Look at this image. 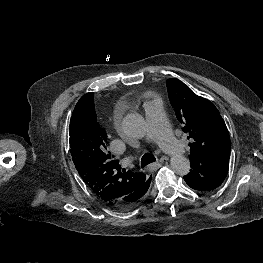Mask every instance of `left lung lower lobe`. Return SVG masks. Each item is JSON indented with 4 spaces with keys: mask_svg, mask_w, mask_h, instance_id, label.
Returning a JSON list of instances; mask_svg holds the SVG:
<instances>
[{
    "mask_svg": "<svg viewBox=\"0 0 263 263\" xmlns=\"http://www.w3.org/2000/svg\"><path fill=\"white\" fill-rule=\"evenodd\" d=\"M191 170L184 176L185 182L193 189L208 192L216 189L225 180L229 162L219 160L209 163H201L191 160Z\"/></svg>",
    "mask_w": 263,
    "mask_h": 263,
    "instance_id": "1",
    "label": "left lung lower lobe"
}]
</instances>
